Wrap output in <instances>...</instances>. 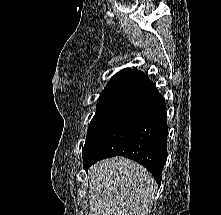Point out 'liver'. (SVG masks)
<instances>
[{"label": "liver", "instance_id": "liver-1", "mask_svg": "<svg viewBox=\"0 0 221 215\" xmlns=\"http://www.w3.org/2000/svg\"><path fill=\"white\" fill-rule=\"evenodd\" d=\"M89 215H148L157 185L140 164L113 157L88 171Z\"/></svg>", "mask_w": 221, "mask_h": 215}]
</instances>
